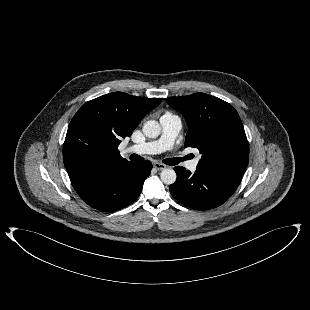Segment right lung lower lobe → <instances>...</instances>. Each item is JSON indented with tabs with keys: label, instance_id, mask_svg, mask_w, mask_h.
I'll return each instance as SVG.
<instances>
[{
	"label": "right lung lower lobe",
	"instance_id": "obj_1",
	"mask_svg": "<svg viewBox=\"0 0 310 310\" xmlns=\"http://www.w3.org/2000/svg\"><path fill=\"white\" fill-rule=\"evenodd\" d=\"M152 164L148 160L110 165L70 179L78 195L100 211H116L133 203L141 193Z\"/></svg>",
	"mask_w": 310,
	"mask_h": 310
}]
</instances>
